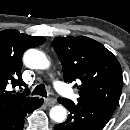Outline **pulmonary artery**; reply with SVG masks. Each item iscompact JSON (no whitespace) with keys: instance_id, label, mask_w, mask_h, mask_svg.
Here are the masks:
<instances>
[{"instance_id":"e3ab8cb5","label":"pulmonary artery","mask_w":130,"mask_h":130,"mask_svg":"<svg viewBox=\"0 0 130 130\" xmlns=\"http://www.w3.org/2000/svg\"><path fill=\"white\" fill-rule=\"evenodd\" d=\"M55 88L59 93L69 99H72L74 97V94H72L71 91L68 90L62 83L55 84Z\"/></svg>"}]
</instances>
